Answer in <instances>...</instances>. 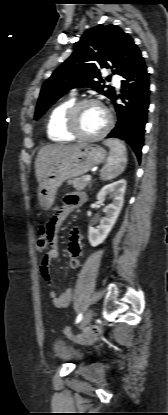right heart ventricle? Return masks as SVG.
I'll list each match as a JSON object with an SVG mask.
<instances>
[{
    "instance_id": "1",
    "label": "right heart ventricle",
    "mask_w": 168,
    "mask_h": 415,
    "mask_svg": "<svg viewBox=\"0 0 168 415\" xmlns=\"http://www.w3.org/2000/svg\"><path fill=\"white\" fill-rule=\"evenodd\" d=\"M76 99L70 97L57 104L50 112L47 122V135L55 142H69L75 139L66 128V116Z\"/></svg>"
}]
</instances>
